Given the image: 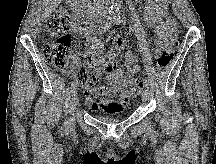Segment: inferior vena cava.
Segmentation results:
<instances>
[{
  "instance_id": "inferior-vena-cava-1",
  "label": "inferior vena cava",
  "mask_w": 216,
  "mask_h": 164,
  "mask_svg": "<svg viewBox=\"0 0 216 164\" xmlns=\"http://www.w3.org/2000/svg\"><path fill=\"white\" fill-rule=\"evenodd\" d=\"M98 2L100 3L99 5H102V6H103L105 0H98Z\"/></svg>"
}]
</instances>
